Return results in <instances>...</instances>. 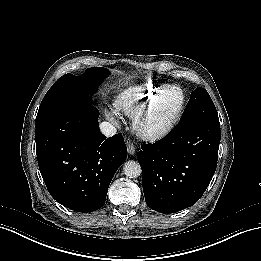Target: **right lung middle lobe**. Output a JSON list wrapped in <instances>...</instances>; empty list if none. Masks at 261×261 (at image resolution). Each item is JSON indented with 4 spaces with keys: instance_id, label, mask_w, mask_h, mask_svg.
Here are the masks:
<instances>
[{
    "instance_id": "right-lung-middle-lobe-1",
    "label": "right lung middle lobe",
    "mask_w": 261,
    "mask_h": 261,
    "mask_svg": "<svg viewBox=\"0 0 261 261\" xmlns=\"http://www.w3.org/2000/svg\"><path fill=\"white\" fill-rule=\"evenodd\" d=\"M107 74L108 71L105 68L96 67L87 69L80 77L71 73L60 77L44 96L35 123L70 101L91 102L89 95L96 91L97 86Z\"/></svg>"
}]
</instances>
